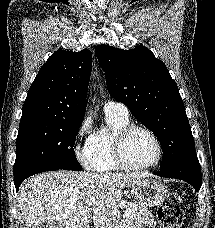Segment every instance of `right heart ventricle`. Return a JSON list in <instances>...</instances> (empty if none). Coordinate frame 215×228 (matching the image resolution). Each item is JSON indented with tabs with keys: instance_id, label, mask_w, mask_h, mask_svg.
I'll return each instance as SVG.
<instances>
[{
	"instance_id": "1",
	"label": "right heart ventricle",
	"mask_w": 215,
	"mask_h": 228,
	"mask_svg": "<svg viewBox=\"0 0 215 228\" xmlns=\"http://www.w3.org/2000/svg\"><path fill=\"white\" fill-rule=\"evenodd\" d=\"M109 131L91 135L85 145L86 163L96 172H113L120 169L113 154V140L116 133L130 123L129 116L107 113Z\"/></svg>"
}]
</instances>
